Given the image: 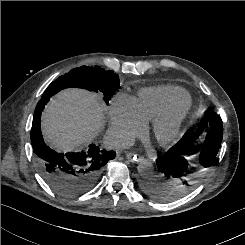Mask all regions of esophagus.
<instances>
[{"instance_id": "esophagus-1", "label": "esophagus", "mask_w": 245, "mask_h": 245, "mask_svg": "<svg viewBox=\"0 0 245 245\" xmlns=\"http://www.w3.org/2000/svg\"><path fill=\"white\" fill-rule=\"evenodd\" d=\"M126 157L127 159L130 161V162H136V163H139V162H142L144 161V157L142 156H139L137 154H134V153H127L126 154Z\"/></svg>"}]
</instances>
